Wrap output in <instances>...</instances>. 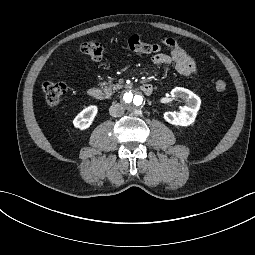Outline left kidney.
<instances>
[{
	"label": "left kidney",
	"instance_id": "1",
	"mask_svg": "<svg viewBox=\"0 0 255 255\" xmlns=\"http://www.w3.org/2000/svg\"><path fill=\"white\" fill-rule=\"evenodd\" d=\"M173 98H179L185 102L180 112H165L163 119L175 126H190L196 118L197 111L200 107V98L188 89L176 87L171 90Z\"/></svg>",
	"mask_w": 255,
	"mask_h": 255
}]
</instances>
